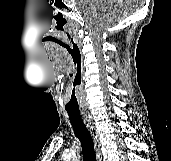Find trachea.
Masks as SVG:
<instances>
[{"instance_id": "1", "label": "trachea", "mask_w": 171, "mask_h": 161, "mask_svg": "<svg viewBox=\"0 0 171 161\" xmlns=\"http://www.w3.org/2000/svg\"><path fill=\"white\" fill-rule=\"evenodd\" d=\"M69 120L75 135L79 139L85 161H97L93 138L84 124L80 112H68Z\"/></svg>"}]
</instances>
